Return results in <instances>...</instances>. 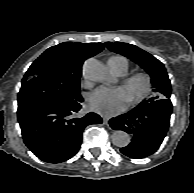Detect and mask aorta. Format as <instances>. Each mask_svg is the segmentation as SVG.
I'll use <instances>...</instances> for the list:
<instances>
[{
  "label": "aorta",
  "mask_w": 194,
  "mask_h": 193,
  "mask_svg": "<svg viewBox=\"0 0 194 193\" xmlns=\"http://www.w3.org/2000/svg\"><path fill=\"white\" fill-rule=\"evenodd\" d=\"M83 73L85 77L93 81L107 82L111 79V75L107 67L94 58H89L83 65ZM112 143L117 147H126L130 143L129 135L122 130L113 132L111 136Z\"/></svg>",
  "instance_id": "1"
}]
</instances>
